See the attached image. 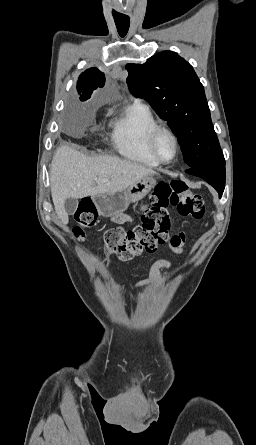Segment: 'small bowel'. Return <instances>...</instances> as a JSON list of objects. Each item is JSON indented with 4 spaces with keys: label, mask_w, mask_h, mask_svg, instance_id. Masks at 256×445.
I'll list each match as a JSON object with an SVG mask.
<instances>
[{
    "label": "small bowel",
    "mask_w": 256,
    "mask_h": 445,
    "mask_svg": "<svg viewBox=\"0 0 256 445\" xmlns=\"http://www.w3.org/2000/svg\"><path fill=\"white\" fill-rule=\"evenodd\" d=\"M185 240H186L185 233L179 232L173 234L169 239L168 247L172 252L181 256L184 253L183 245ZM171 265H172L171 261L166 259H161L156 261L150 269L149 276L146 279L137 282L135 284V287H142L153 284L158 289L163 288L169 278L168 274L166 273V270L169 269ZM141 297H142L141 294L138 295V299Z\"/></svg>",
    "instance_id": "small-bowel-1"
}]
</instances>
